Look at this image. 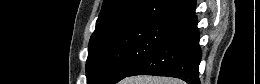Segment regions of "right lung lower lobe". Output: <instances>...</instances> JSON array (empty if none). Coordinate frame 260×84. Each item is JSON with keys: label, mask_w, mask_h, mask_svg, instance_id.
<instances>
[{"label": "right lung lower lobe", "mask_w": 260, "mask_h": 84, "mask_svg": "<svg viewBox=\"0 0 260 84\" xmlns=\"http://www.w3.org/2000/svg\"><path fill=\"white\" fill-rule=\"evenodd\" d=\"M201 57L197 17L193 14L175 26L173 31L126 76H169L180 78L189 84H199L198 67Z\"/></svg>", "instance_id": "obj_1"}]
</instances>
